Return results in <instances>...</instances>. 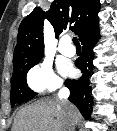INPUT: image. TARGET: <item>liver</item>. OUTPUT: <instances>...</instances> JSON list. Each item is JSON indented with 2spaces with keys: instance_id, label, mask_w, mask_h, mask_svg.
<instances>
[{
  "instance_id": "1",
  "label": "liver",
  "mask_w": 117,
  "mask_h": 131,
  "mask_svg": "<svg viewBox=\"0 0 117 131\" xmlns=\"http://www.w3.org/2000/svg\"><path fill=\"white\" fill-rule=\"evenodd\" d=\"M80 120L74 105H65L58 98L45 99L21 108L12 131H67L70 122L75 125Z\"/></svg>"
}]
</instances>
